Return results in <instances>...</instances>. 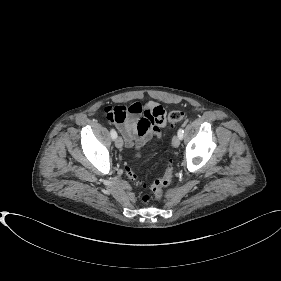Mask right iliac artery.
<instances>
[{
	"instance_id": "right-iliac-artery-1",
	"label": "right iliac artery",
	"mask_w": 281,
	"mask_h": 281,
	"mask_svg": "<svg viewBox=\"0 0 281 281\" xmlns=\"http://www.w3.org/2000/svg\"><path fill=\"white\" fill-rule=\"evenodd\" d=\"M110 133H111L112 139H116L117 133H116L115 129H111Z\"/></svg>"
}]
</instances>
